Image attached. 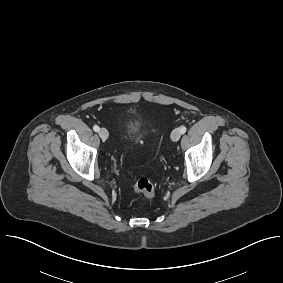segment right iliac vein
Segmentation results:
<instances>
[{
    "label": "right iliac vein",
    "instance_id": "1",
    "mask_svg": "<svg viewBox=\"0 0 283 283\" xmlns=\"http://www.w3.org/2000/svg\"><path fill=\"white\" fill-rule=\"evenodd\" d=\"M99 136H100V138H101L102 140L108 139L109 133H108L107 129L101 128V129L99 130Z\"/></svg>",
    "mask_w": 283,
    "mask_h": 283
}]
</instances>
